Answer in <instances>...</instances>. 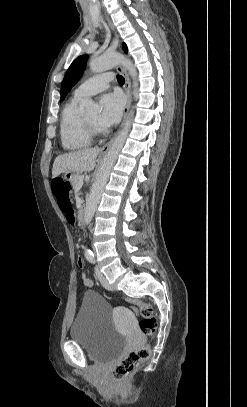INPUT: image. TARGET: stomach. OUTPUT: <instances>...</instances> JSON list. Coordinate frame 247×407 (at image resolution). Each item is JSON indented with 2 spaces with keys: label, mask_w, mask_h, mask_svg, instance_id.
I'll use <instances>...</instances> for the list:
<instances>
[{
  "label": "stomach",
  "mask_w": 247,
  "mask_h": 407,
  "mask_svg": "<svg viewBox=\"0 0 247 407\" xmlns=\"http://www.w3.org/2000/svg\"><path fill=\"white\" fill-rule=\"evenodd\" d=\"M63 178H66L69 181H72L73 178H76L77 171L76 169H63L62 171Z\"/></svg>",
  "instance_id": "0dacf381"
}]
</instances>
